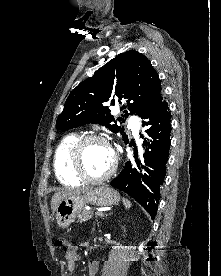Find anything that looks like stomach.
I'll return each instance as SVG.
<instances>
[{"instance_id": "stomach-1", "label": "stomach", "mask_w": 221, "mask_h": 276, "mask_svg": "<svg viewBox=\"0 0 221 276\" xmlns=\"http://www.w3.org/2000/svg\"><path fill=\"white\" fill-rule=\"evenodd\" d=\"M119 194L108 186H99L82 195H73L63 199L56 209L57 224L67 228L85 208L87 204L96 206H112L119 202Z\"/></svg>"}]
</instances>
